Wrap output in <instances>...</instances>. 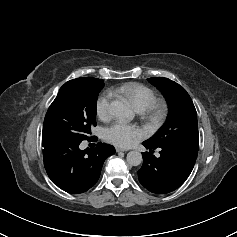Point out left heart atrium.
<instances>
[{
	"label": "left heart atrium",
	"instance_id": "obj_1",
	"mask_svg": "<svg viewBox=\"0 0 237 237\" xmlns=\"http://www.w3.org/2000/svg\"><path fill=\"white\" fill-rule=\"evenodd\" d=\"M105 139L117 147L128 148L144 137L142 129L118 121L104 131Z\"/></svg>",
	"mask_w": 237,
	"mask_h": 237
}]
</instances>
